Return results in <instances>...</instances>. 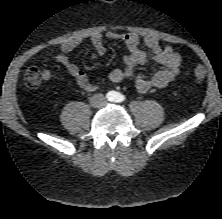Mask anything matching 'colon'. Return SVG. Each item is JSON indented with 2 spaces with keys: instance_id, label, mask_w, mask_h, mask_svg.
Instances as JSON below:
<instances>
[{
  "instance_id": "obj_1",
  "label": "colon",
  "mask_w": 222,
  "mask_h": 219,
  "mask_svg": "<svg viewBox=\"0 0 222 219\" xmlns=\"http://www.w3.org/2000/svg\"><path fill=\"white\" fill-rule=\"evenodd\" d=\"M193 74L197 79H203L206 75V69L202 65H195L193 67ZM25 83L28 87L36 88L40 85L42 80V73L36 66L27 68L25 72Z\"/></svg>"
}]
</instances>
